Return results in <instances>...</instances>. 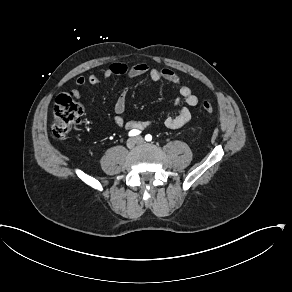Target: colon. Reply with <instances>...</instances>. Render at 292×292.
I'll list each match as a JSON object with an SVG mask.
<instances>
[{
	"instance_id": "colon-1",
	"label": "colon",
	"mask_w": 292,
	"mask_h": 292,
	"mask_svg": "<svg viewBox=\"0 0 292 292\" xmlns=\"http://www.w3.org/2000/svg\"><path fill=\"white\" fill-rule=\"evenodd\" d=\"M201 107L206 114L213 112L211 99L203 100ZM84 114L83 105L74 98L72 92L59 94L54 103L52 136L57 140L63 139L73 126L81 122Z\"/></svg>"
}]
</instances>
